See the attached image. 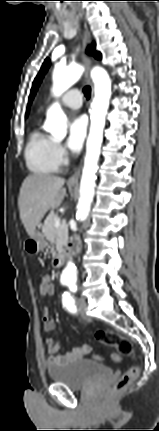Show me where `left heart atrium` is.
<instances>
[{
    "mask_svg": "<svg viewBox=\"0 0 159 431\" xmlns=\"http://www.w3.org/2000/svg\"><path fill=\"white\" fill-rule=\"evenodd\" d=\"M87 133V119L85 116L75 117L69 124L67 146L73 152L81 150Z\"/></svg>",
    "mask_w": 159,
    "mask_h": 431,
    "instance_id": "obj_1",
    "label": "left heart atrium"
}]
</instances>
